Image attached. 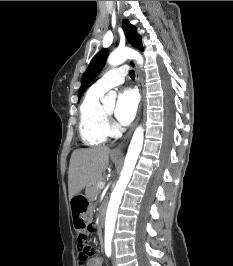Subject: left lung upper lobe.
I'll return each mask as SVG.
<instances>
[{
	"label": "left lung upper lobe",
	"instance_id": "1",
	"mask_svg": "<svg viewBox=\"0 0 233 266\" xmlns=\"http://www.w3.org/2000/svg\"><path fill=\"white\" fill-rule=\"evenodd\" d=\"M123 30L127 40L133 46L137 47L139 50L143 51V46L141 43V36L137 34V29L135 26L131 25L128 20H123L122 22ZM108 49L101 50L98 54L94 56L91 60L87 70L82 76L81 87L79 88L78 97L81 98V94L85 91L87 86L96 78V76L101 72L105 65V61L108 57Z\"/></svg>",
	"mask_w": 233,
	"mask_h": 266
}]
</instances>
